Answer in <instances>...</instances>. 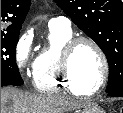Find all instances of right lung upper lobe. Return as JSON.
<instances>
[{
  "label": "right lung upper lobe",
  "instance_id": "cb5924a9",
  "mask_svg": "<svg viewBox=\"0 0 123 113\" xmlns=\"http://www.w3.org/2000/svg\"><path fill=\"white\" fill-rule=\"evenodd\" d=\"M30 0H1V35L20 34Z\"/></svg>",
  "mask_w": 123,
  "mask_h": 113
}]
</instances>
